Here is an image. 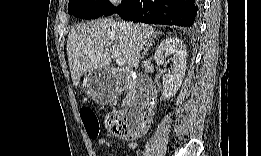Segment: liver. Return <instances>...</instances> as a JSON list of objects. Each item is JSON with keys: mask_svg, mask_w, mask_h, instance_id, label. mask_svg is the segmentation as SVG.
I'll return each mask as SVG.
<instances>
[{"mask_svg": "<svg viewBox=\"0 0 261 156\" xmlns=\"http://www.w3.org/2000/svg\"><path fill=\"white\" fill-rule=\"evenodd\" d=\"M118 22L102 18L73 27L67 39V55L73 85L84 73L109 67L110 52L129 67L139 66L140 52L157 37L151 25ZM110 51V52H109Z\"/></svg>", "mask_w": 261, "mask_h": 156, "instance_id": "obj_1", "label": "liver"}]
</instances>
